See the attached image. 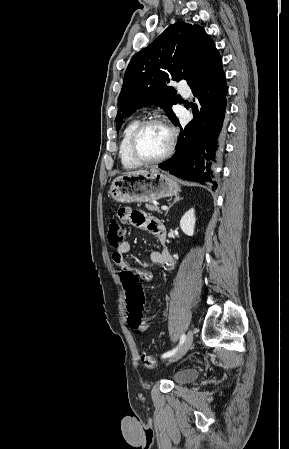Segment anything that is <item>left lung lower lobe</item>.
Segmentation results:
<instances>
[{
    "mask_svg": "<svg viewBox=\"0 0 289 449\" xmlns=\"http://www.w3.org/2000/svg\"><path fill=\"white\" fill-rule=\"evenodd\" d=\"M189 86L198 98L199 106L192 110L193 120L181 128L175 154L159 168L215 189L214 164L224 147L227 111L226 79L216 48ZM174 124L180 127L178 119Z\"/></svg>",
    "mask_w": 289,
    "mask_h": 449,
    "instance_id": "obj_1",
    "label": "left lung lower lobe"
}]
</instances>
